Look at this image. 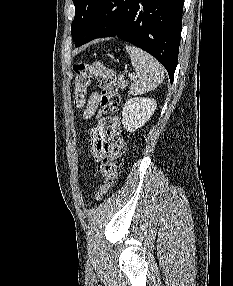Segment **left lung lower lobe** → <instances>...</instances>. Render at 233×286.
Wrapping results in <instances>:
<instances>
[{"instance_id": "1", "label": "left lung lower lobe", "mask_w": 233, "mask_h": 286, "mask_svg": "<svg viewBox=\"0 0 233 286\" xmlns=\"http://www.w3.org/2000/svg\"><path fill=\"white\" fill-rule=\"evenodd\" d=\"M184 0H102L75 41L117 36L153 55L173 82L178 61Z\"/></svg>"}]
</instances>
